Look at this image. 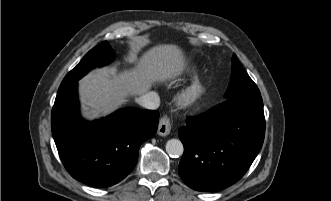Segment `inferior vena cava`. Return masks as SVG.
<instances>
[{
    "mask_svg": "<svg viewBox=\"0 0 331 201\" xmlns=\"http://www.w3.org/2000/svg\"><path fill=\"white\" fill-rule=\"evenodd\" d=\"M138 103L147 109H157L160 105V97L156 92L150 91L140 96Z\"/></svg>",
    "mask_w": 331,
    "mask_h": 201,
    "instance_id": "602c4592",
    "label": "inferior vena cava"
}]
</instances>
